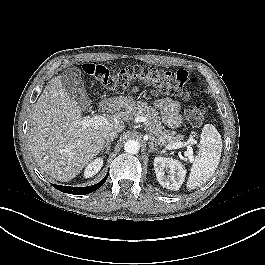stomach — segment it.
<instances>
[{"instance_id": "obj_1", "label": "stomach", "mask_w": 265, "mask_h": 265, "mask_svg": "<svg viewBox=\"0 0 265 265\" xmlns=\"http://www.w3.org/2000/svg\"><path fill=\"white\" fill-rule=\"evenodd\" d=\"M124 103H125V106L128 107L130 104H132V101L131 99H126Z\"/></svg>"}]
</instances>
